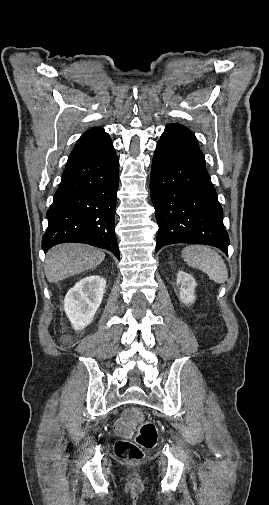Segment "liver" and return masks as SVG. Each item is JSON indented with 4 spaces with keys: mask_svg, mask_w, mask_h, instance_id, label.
<instances>
[{
    "mask_svg": "<svg viewBox=\"0 0 269 505\" xmlns=\"http://www.w3.org/2000/svg\"><path fill=\"white\" fill-rule=\"evenodd\" d=\"M105 258L102 250L85 244L65 243L50 249L45 261L49 282H58L83 271L93 269Z\"/></svg>",
    "mask_w": 269,
    "mask_h": 505,
    "instance_id": "6515ba94",
    "label": "liver"
}]
</instances>
